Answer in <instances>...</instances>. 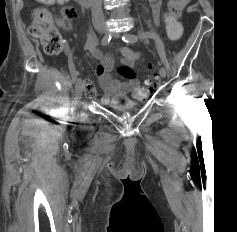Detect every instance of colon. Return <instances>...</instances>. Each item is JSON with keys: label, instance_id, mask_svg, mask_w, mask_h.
Listing matches in <instances>:
<instances>
[{"label": "colon", "instance_id": "obj_1", "mask_svg": "<svg viewBox=\"0 0 237 232\" xmlns=\"http://www.w3.org/2000/svg\"><path fill=\"white\" fill-rule=\"evenodd\" d=\"M44 5L62 4L65 0H36ZM63 14L67 19H74L76 16V10L73 7H66L63 10ZM163 20L166 25V30L169 38L172 41H177L182 35V27L178 22L175 15L170 12L163 14ZM29 34L40 40V43L48 55H57L63 48V39L57 30L54 22V18L51 12L46 7H38L32 11L31 23L28 28ZM146 68H151L147 65ZM155 84L154 80L148 79L145 82V88L151 90Z\"/></svg>", "mask_w": 237, "mask_h": 232}]
</instances>
